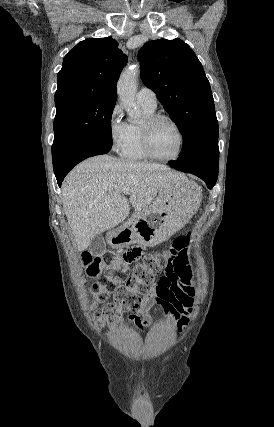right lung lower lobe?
<instances>
[{"mask_svg":"<svg viewBox=\"0 0 274 427\" xmlns=\"http://www.w3.org/2000/svg\"><path fill=\"white\" fill-rule=\"evenodd\" d=\"M111 147H112V144H106V143H95V144L89 145L84 149L80 150L79 152L75 153L74 155H72L60 166L55 167L54 172H55V176H56L59 187L61 186V183L64 177L75 165H77L79 162H81L82 160L88 157L105 154L110 151Z\"/></svg>","mask_w":274,"mask_h":427,"instance_id":"98d812e1","label":"right lung lower lobe"}]
</instances>
